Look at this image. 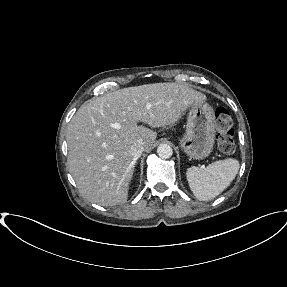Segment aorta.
<instances>
[{
	"label": "aorta",
	"instance_id": "obj_1",
	"mask_svg": "<svg viewBox=\"0 0 287 287\" xmlns=\"http://www.w3.org/2000/svg\"><path fill=\"white\" fill-rule=\"evenodd\" d=\"M157 154L162 159H168L172 156L173 150L168 144H160L157 148Z\"/></svg>",
	"mask_w": 287,
	"mask_h": 287
}]
</instances>
